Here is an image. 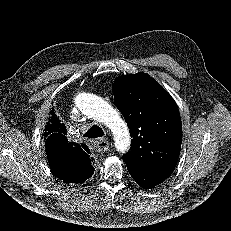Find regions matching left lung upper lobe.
<instances>
[{"mask_svg":"<svg viewBox=\"0 0 231 231\" xmlns=\"http://www.w3.org/2000/svg\"><path fill=\"white\" fill-rule=\"evenodd\" d=\"M114 103L132 139L123 159L128 167L174 170L182 143L181 118L171 95L145 73L118 77Z\"/></svg>","mask_w":231,"mask_h":231,"instance_id":"left-lung-upper-lobe-1","label":"left lung upper lobe"}]
</instances>
